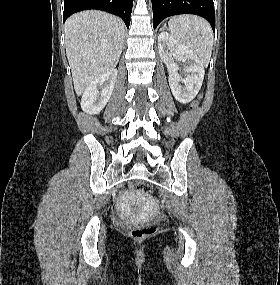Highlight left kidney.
<instances>
[{"label": "left kidney", "mask_w": 280, "mask_h": 285, "mask_svg": "<svg viewBox=\"0 0 280 285\" xmlns=\"http://www.w3.org/2000/svg\"><path fill=\"white\" fill-rule=\"evenodd\" d=\"M158 49L161 60L168 70V81L173 96L183 104L192 101L204 79L205 70L202 62L193 51L167 32L158 35ZM175 60L186 62L184 71L188 74L185 78L178 74L179 67Z\"/></svg>", "instance_id": "obj_1"}]
</instances>
